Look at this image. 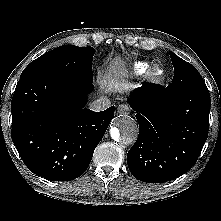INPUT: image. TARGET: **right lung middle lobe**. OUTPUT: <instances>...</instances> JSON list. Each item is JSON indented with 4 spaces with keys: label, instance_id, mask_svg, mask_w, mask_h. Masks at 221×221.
<instances>
[{
    "label": "right lung middle lobe",
    "instance_id": "dd1d6c3e",
    "mask_svg": "<svg viewBox=\"0 0 221 221\" xmlns=\"http://www.w3.org/2000/svg\"><path fill=\"white\" fill-rule=\"evenodd\" d=\"M94 53L92 47L73 45L57 47L32 61L20 78L27 75H48L92 82Z\"/></svg>",
    "mask_w": 221,
    "mask_h": 221
}]
</instances>
